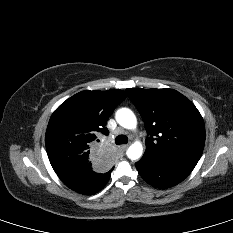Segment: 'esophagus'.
<instances>
[{"label":"esophagus","mask_w":233,"mask_h":233,"mask_svg":"<svg viewBox=\"0 0 233 233\" xmlns=\"http://www.w3.org/2000/svg\"><path fill=\"white\" fill-rule=\"evenodd\" d=\"M128 147H129L128 144L127 145H122V146H120V150L121 151H126L128 149Z\"/></svg>","instance_id":"1"}]
</instances>
